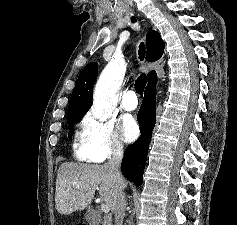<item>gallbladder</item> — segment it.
<instances>
[{"label":"gallbladder","mask_w":237,"mask_h":225,"mask_svg":"<svg viewBox=\"0 0 237 225\" xmlns=\"http://www.w3.org/2000/svg\"><path fill=\"white\" fill-rule=\"evenodd\" d=\"M89 223H90V225H99L100 220L99 219H96V220H93V221L89 220Z\"/></svg>","instance_id":"obj_1"}]
</instances>
